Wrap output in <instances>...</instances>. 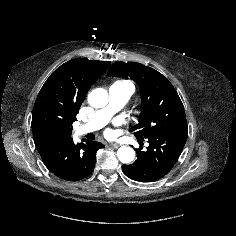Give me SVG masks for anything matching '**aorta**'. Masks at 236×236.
<instances>
[{"instance_id":"762f6f07","label":"aorta","mask_w":236,"mask_h":236,"mask_svg":"<svg viewBox=\"0 0 236 236\" xmlns=\"http://www.w3.org/2000/svg\"><path fill=\"white\" fill-rule=\"evenodd\" d=\"M88 103L94 108H103L108 103V93L103 88H96L88 95ZM117 157L120 162L128 164L135 158V152L131 147L121 146L117 150Z\"/></svg>"}]
</instances>
